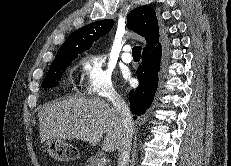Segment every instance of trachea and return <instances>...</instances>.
<instances>
[{
    "label": "trachea",
    "instance_id": "trachea-1",
    "mask_svg": "<svg viewBox=\"0 0 231 166\" xmlns=\"http://www.w3.org/2000/svg\"><path fill=\"white\" fill-rule=\"evenodd\" d=\"M141 50H142L141 46H135V47H133V49H132V56L140 58L141 57Z\"/></svg>",
    "mask_w": 231,
    "mask_h": 166
}]
</instances>
